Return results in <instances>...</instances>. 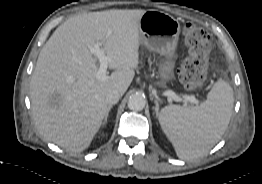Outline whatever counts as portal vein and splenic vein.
<instances>
[{
	"mask_svg": "<svg viewBox=\"0 0 262 184\" xmlns=\"http://www.w3.org/2000/svg\"><path fill=\"white\" fill-rule=\"evenodd\" d=\"M101 44L96 43L92 48L91 52L99 60V69L96 74L98 80H104L106 78V72L108 68V62L111 61V57L107 56L104 51L100 48ZM169 99H172L176 102L189 101L194 104H199V101L194 96H179L173 91H168L166 94Z\"/></svg>",
	"mask_w": 262,
	"mask_h": 184,
	"instance_id": "18ae733b",
	"label": "portal vein and splenic vein"
}]
</instances>
